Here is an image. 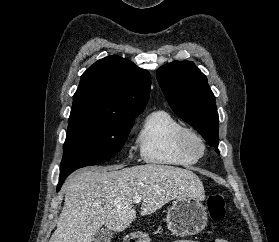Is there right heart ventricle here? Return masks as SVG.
<instances>
[{
  "mask_svg": "<svg viewBox=\"0 0 279 242\" xmlns=\"http://www.w3.org/2000/svg\"><path fill=\"white\" fill-rule=\"evenodd\" d=\"M181 124L167 111L155 110L143 120L136 143L142 159L149 164L187 167L198 159L185 154L178 145Z\"/></svg>",
  "mask_w": 279,
  "mask_h": 242,
  "instance_id": "right-heart-ventricle-1",
  "label": "right heart ventricle"
}]
</instances>
